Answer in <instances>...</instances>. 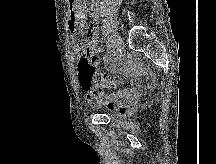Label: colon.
I'll return each mask as SVG.
<instances>
[{"instance_id": "5ec220e1", "label": "colon", "mask_w": 216, "mask_h": 164, "mask_svg": "<svg viewBox=\"0 0 216 164\" xmlns=\"http://www.w3.org/2000/svg\"><path fill=\"white\" fill-rule=\"evenodd\" d=\"M74 47L75 49L82 51L84 45L81 41L76 40L74 42ZM78 76L81 87L85 91L91 92L100 86L104 75L94 65L92 59H89L88 57H82L80 58L78 64Z\"/></svg>"}]
</instances>
